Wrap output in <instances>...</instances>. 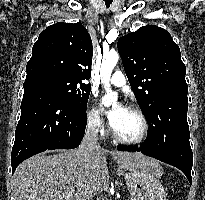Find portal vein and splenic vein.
Returning <instances> with one entry per match:
<instances>
[{
	"instance_id": "obj_1",
	"label": "portal vein and splenic vein",
	"mask_w": 205,
	"mask_h": 200,
	"mask_svg": "<svg viewBox=\"0 0 205 200\" xmlns=\"http://www.w3.org/2000/svg\"><path fill=\"white\" fill-rule=\"evenodd\" d=\"M70 196H71L70 194L67 195V197H70Z\"/></svg>"
}]
</instances>
